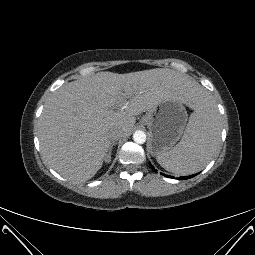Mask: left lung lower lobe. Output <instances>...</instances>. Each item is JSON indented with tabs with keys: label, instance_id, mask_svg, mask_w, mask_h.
Instances as JSON below:
<instances>
[{
	"label": "left lung lower lobe",
	"instance_id": "obj_1",
	"mask_svg": "<svg viewBox=\"0 0 255 255\" xmlns=\"http://www.w3.org/2000/svg\"><path fill=\"white\" fill-rule=\"evenodd\" d=\"M150 166H151V168L154 170V167L150 164ZM156 171V170H155ZM162 175H164V176H166V177H171V178H174V177H172V176H168V175H165V174H162ZM196 175V174H195ZM195 175H191V176H185V177H180L179 179H189V178H192V177H194Z\"/></svg>",
	"mask_w": 255,
	"mask_h": 255
}]
</instances>
